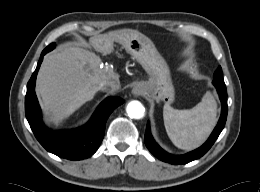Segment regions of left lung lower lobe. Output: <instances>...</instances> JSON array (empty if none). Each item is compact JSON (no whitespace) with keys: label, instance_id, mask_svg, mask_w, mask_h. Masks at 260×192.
<instances>
[{"label":"left lung lower lobe","instance_id":"0a47b994","mask_svg":"<svg viewBox=\"0 0 260 192\" xmlns=\"http://www.w3.org/2000/svg\"><path fill=\"white\" fill-rule=\"evenodd\" d=\"M214 86L217 89V92L219 94L221 103H222V110H221V116L218 121L217 126L213 130L212 134L210 135L209 139L198 149L191 151L184 155H172L164 151L153 139L149 123L147 124L146 133L144 137L145 145L148 148V150L156 156L158 159L168 162L170 164L174 165H182L189 163L193 160H196L200 157H202L214 144L216 139L218 138L219 134L224 128L226 119H227V90L225 87L224 81H213Z\"/></svg>","mask_w":260,"mask_h":192}]
</instances>
